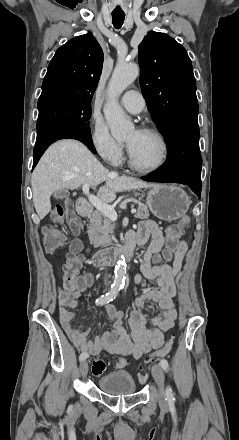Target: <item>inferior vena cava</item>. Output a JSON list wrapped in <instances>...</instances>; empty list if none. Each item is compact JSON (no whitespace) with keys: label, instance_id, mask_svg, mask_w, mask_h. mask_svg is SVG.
I'll return each instance as SVG.
<instances>
[{"label":"inferior vena cava","instance_id":"602c4592","mask_svg":"<svg viewBox=\"0 0 239 440\" xmlns=\"http://www.w3.org/2000/svg\"><path fill=\"white\" fill-rule=\"evenodd\" d=\"M104 284H105V286H107V284H108V282H107V278H105V280H104Z\"/></svg>","mask_w":239,"mask_h":440}]
</instances>
